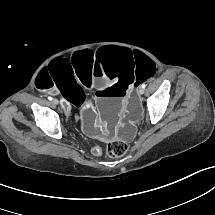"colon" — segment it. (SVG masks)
I'll return each mask as SVG.
<instances>
[{"instance_id":"colon-1","label":"colon","mask_w":215,"mask_h":215,"mask_svg":"<svg viewBox=\"0 0 215 215\" xmlns=\"http://www.w3.org/2000/svg\"><path fill=\"white\" fill-rule=\"evenodd\" d=\"M127 144L123 141L109 143L105 148V153L109 157H119L126 153Z\"/></svg>"}]
</instances>
